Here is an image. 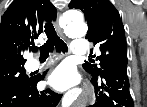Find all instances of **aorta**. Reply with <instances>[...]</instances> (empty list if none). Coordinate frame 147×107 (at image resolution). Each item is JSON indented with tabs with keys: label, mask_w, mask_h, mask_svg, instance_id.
Listing matches in <instances>:
<instances>
[{
	"label": "aorta",
	"mask_w": 147,
	"mask_h": 107,
	"mask_svg": "<svg viewBox=\"0 0 147 107\" xmlns=\"http://www.w3.org/2000/svg\"><path fill=\"white\" fill-rule=\"evenodd\" d=\"M64 32L71 38H81L87 33V26L80 17H72L65 19ZM78 101L81 105H85L88 102V97L85 94H80ZM64 106V105H63Z\"/></svg>",
	"instance_id": "aorta-1"
}]
</instances>
